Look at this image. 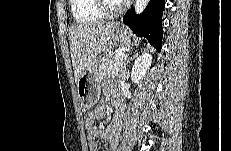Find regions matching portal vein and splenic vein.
I'll return each instance as SVG.
<instances>
[{
	"label": "portal vein and splenic vein",
	"instance_id": "18ae733b",
	"mask_svg": "<svg viewBox=\"0 0 231 151\" xmlns=\"http://www.w3.org/2000/svg\"><path fill=\"white\" fill-rule=\"evenodd\" d=\"M124 57H125V54L122 53V52H120V53L115 54V55L113 56V59H114V60H118V59L124 58Z\"/></svg>",
	"mask_w": 231,
	"mask_h": 151
}]
</instances>
